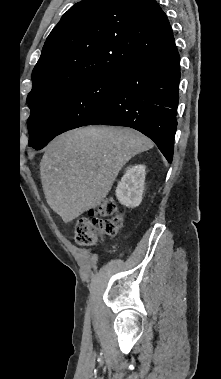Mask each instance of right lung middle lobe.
Instances as JSON below:
<instances>
[{
	"instance_id": "right-lung-middle-lobe-1",
	"label": "right lung middle lobe",
	"mask_w": 221,
	"mask_h": 379,
	"mask_svg": "<svg viewBox=\"0 0 221 379\" xmlns=\"http://www.w3.org/2000/svg\"><path fill=\"white\" fill-rule=\"evenodd\" d=\"M120 71L99 73L52 89L27 102L29 146L43 148L56 135L88 125L110 103Z\"/></svg>"
}]
</instances>
